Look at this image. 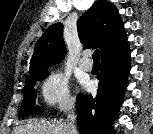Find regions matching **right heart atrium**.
Returning a JSON list of instances; mask_svg holds the SVG:
<instances>
[{
  "label": "right heart atrium",
  "mask_w": 153,
  "mask_h": 134,
  "mask_svg": "<svg viewBox=\"0 0 153 134\" xmlns=\"http://www.w3.org/2000/svg\"><path fill=\"white\" fill-rule=\"evenodd\" d=\"M41 96L50 106L67 109L73 103L68 76L60 70L51 71L42 81Z\"/></svg>",
  "instance_id": "obj_1"
}]
</instances>
